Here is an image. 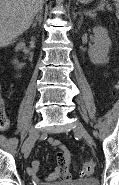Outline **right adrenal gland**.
<instances>
[{"label": "right adrenal gland", "mask_w": 119, "mask_h": 185, "mask_svg": "<svg viewBox=\"0 0 119 185\" xmlns=\"http://www.w3.org/2000/svg\"><path fill=\"white\" fill-rule=\"evenodd\" d=\"M42 15H43V11L40 10L39 13L36 15L35 19L33 20L32 27H35L37 22H39V24H41V22H42Z\"/></svg>", "instance_id": "2a0ac1e0"}]
</instances>
